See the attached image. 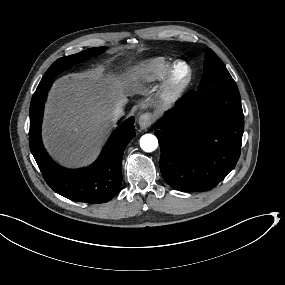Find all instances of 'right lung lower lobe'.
<instances>
[{
  "instance_id": "98d812e1",
  "label": "right lung lower lobe",
  "mask_w": 285,
  "mask_h": 285,
  "mask_svg": "<svg viewBox=\"0 0 285 285\" xmlns=\"http://www.w3.org/2000/svg\"><path fill=\"white\" fill-rule=\"evenodd\" d=\"M51 84L38 86L30 104V150L46 183L58 194L74 201L105 203L120 190L122 157L136 135L134 117L126 120L111 135L99 158L89 167L71 170L59 166L45 151L41 139L44 102Z\"/></svg>"
}]
</instances>
